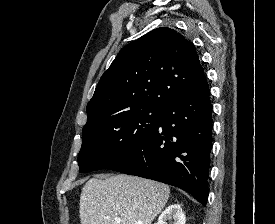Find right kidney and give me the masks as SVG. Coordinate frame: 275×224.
Segmentation results:
<instances>
[{"label":"right kidney","mask_w":275,"mask_h":224,"mask_svg":"<svg viewBox=\"0 0 275 224\" xmlns=\"http://www.w3.org/2000/svg\"><path fill=\"white\" fill-rule=\"evenodd\" d=\"M185 224L186 217L179 204L168 206L159 216L158 222L155 224Z\"/></svg>","instance_id":"obj_1"}]
</instances>
